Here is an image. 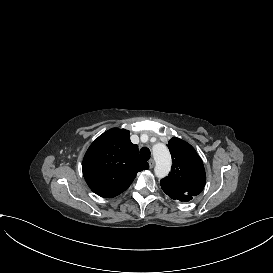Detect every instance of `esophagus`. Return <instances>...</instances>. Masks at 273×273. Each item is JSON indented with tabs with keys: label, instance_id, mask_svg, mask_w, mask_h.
I'll use <instances>...</instances> for the list:
<instances>
[{
	"label": "esophagus",
	"instance_id": "esophagus-1",
	"mask_svg": "<svg viewBox=\"0 0 273 273\" xmlns=\"http://www.w3.org/2000/svg\"><path fill=\"white\" fill-rule=\"evenodd\" d=\"M154 164H155L154 159L151 158V159L149 160V167H150V169H152V168L154 167Z\"/></svg>",
	"mask_w": 273,
	"mask_h": 273
}]
</instances>
